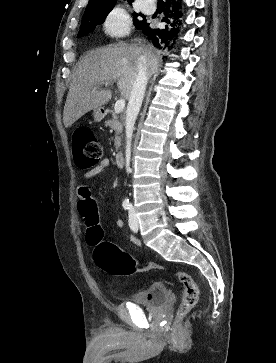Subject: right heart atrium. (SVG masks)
<instances>
[{"label":"right heart atrium","mask_w":276,"mask_h":363,"mask_svg":"<svg viewBox=\"0 0 276 363\" xmlns=\"http://www.w3.org/2000/svg\"><path fill=\"white\" fill-rule=\"evenodd\" d=\"M104 27L106 32L112 35L125 33L129 27L127 14L121 8L113 9L107 16Z\"/></svg>","instance_id":"obj_1"}]
</instances>
